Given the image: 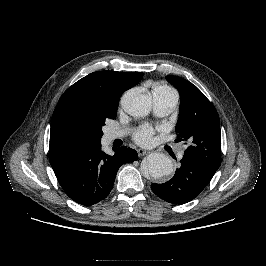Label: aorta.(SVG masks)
<instances>
[{
	"instance_id": "762f6f07",
	"label": "aorta",
	"mask_w": 266,
	"mask_h": 266,
	"mask_svg": "<svg viewBox=\"0 0 266 266\" xmlns=\"http://www.w3.org/2000/svg\"><path fill=\"white\" fill-rule=\"evenodd\" d=\"M122 108L126 113L134 117L146 116L152 107V99L148 94L129 90L121 98ZM142 171L158 179L170 175L173 171L171 159L162 153H151L142 165Z\"/></svg>"
}]
</instances>
